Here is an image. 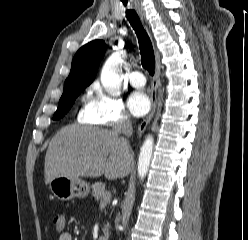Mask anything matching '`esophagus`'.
Segmentation results:
<instances>
[{
    "label": "esophagus",
    "mask_w": 248,
    "mask_h": 240,
    "mask_svg": "<svg viewBox=\"0 0 248 240\" xmlns=\"http://www.w3.org/2000/svg\"><path fill=\"white\" fill-rule=\"evenodd\" d=\"M136 10H137L138 14L141 16L142 20H144L143 13H142L141 9L139 8V6H136ZM146 29H147V31H149L147 25H146ZM160 68H161L160 54L158 51H156L155 52V73H154V77L152 80V94H151L152 109H151L149 115L139 125V127H138V134L139 135H141L145 131L147 125L149 124V122L153 118L154 113H155L156 108H157V95H158V91L160 88Z\"/></svg>",
    "instance_id": "34e87169"
}]
</instances>
